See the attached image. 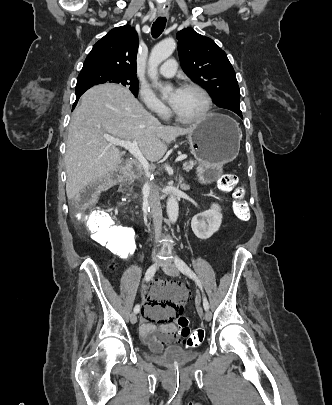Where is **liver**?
Returning <instances> with one entry per match:
<instances>
[{"label": "liver", "mask_w": 332, "mask_h": 405, "mask_svg": "<svg viewBox=\"0 0 332 405\" xmlns=\"http://www.w3.org/2000/svg\"><path fill=\"white\" fill-rule=\"evenodd\" d=\"M163 126L125 88L106 83L86 91L75 109L68 132L65 167L66 194L74 198L90 183L109 175L122 163L110 135L137 142L144 157L160 160L168 144L194 130Z\"/></svg>", "instance_id": "1"}]
</instances>
